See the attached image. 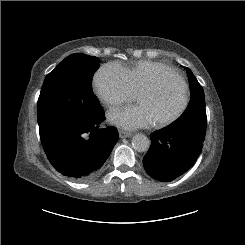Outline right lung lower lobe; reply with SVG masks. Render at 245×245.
Returning a JSON list of instances; mask_svg holds the SVG:
<instances>
[{
    "label": "right lung lower lobe",
    "mask_w": 245,
    "mask_h": 245,
    "mask_svg": "<svg viewBox=\"0 0 245 245\" xmlns=\"http://www.w3.org/2000/svg\"><path fill=\"white\" fill-rule=\"evenodd\" d=\"M104 118L102 111L89 121L60 125L40 135L47 158L57 171L77 181L100 173L118 141L115 128L99 129Z\"/></svg>",
    "instance_id": "98d812e1"
}]
</instances>
